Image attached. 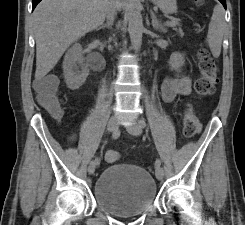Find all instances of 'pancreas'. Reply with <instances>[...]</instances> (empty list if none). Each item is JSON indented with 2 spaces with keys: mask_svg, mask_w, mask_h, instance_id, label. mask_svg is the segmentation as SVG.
<instances>
[{
  "mask_svg": "<svg viewBox=\"0 0 245 225\" xmlns=\"http://www.w3.org/2000/svg\"><path fill=\"white\" fill-rule=\"evenodd\" d=\"M179 19H176V24L173 26V29L176 30L180 35H183V31L181 28H177L176 26H179Z\"/></svg>",
  "mask_w": 245,
  "mask_h": 225,
  "instance_id": "pancreas-1",
  "label": "pancreas"
}]
</instances>
